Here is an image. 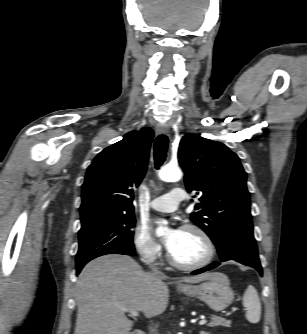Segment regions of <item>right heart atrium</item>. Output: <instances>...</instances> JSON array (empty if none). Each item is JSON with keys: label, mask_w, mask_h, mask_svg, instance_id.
I'll return each mask as SVG.
<instances>
[{"label": "right heart atrium", "mask_w": 307, "mask_h": 334, "mask_svg": "<svg viewBox=\"0 0 307 334\" xmlns=\"http://www.w3.org/2000/svg\"><path fill=\"white\" fill-rule=\"evenodd\" d=\"M132 244L140 259L146 264L154 263L161 255L160 244L143 224L137 225L134 229Z\"/></svg>", "instance_id": "obj_1"}]
</instances>
